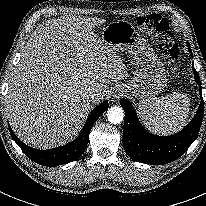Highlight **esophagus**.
Instances as JSON below:
<instances>
[{"mask_svg": "<svg viewBox=\"0 0 206 206\" xmlns=\"http://www.w3.org/2000/svg\"><path fill=\"white\" fill-rule=\"evenodd\" d=\"M122 94L118 93L114 95V99L118 101L121 98Z\"/></svg>", "mask_w": 206, "mask_h": 206, "instance_id": "esophagus-1", "label": "esophagus"}]
</instances>
